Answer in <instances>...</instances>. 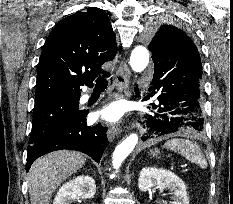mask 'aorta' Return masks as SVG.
Wrapping results in <instances>:
<instances>
[{
    "label": "aorta",
    "instance_id": "obj_1",
    "mask_svg": "<svg viewBox=\"0 0 233 204\" xmlns=\"http://www.w3.org/2000/svg\"><path fill=\"white\" fill-rule=\"evenodd\" d=\"M149 63L148 50L143 46H137L131 53L130 66L134 72H142ZM138 143V135L136 133L130 134L123 140L115 149L113 153L112 165L114 169H119L122 162L133 151Z\"/></svg>",
    "mask_w": 233,
    "mask_h": 204
}]
</instances>
